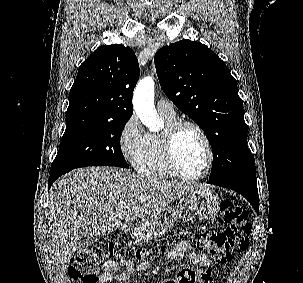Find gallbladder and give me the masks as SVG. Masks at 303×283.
<instances>
[{
    "label": "gallbladder",
    "mask_w": 303,
    "mask_h": 283,
    "mask_svg": "<svg viewBox=\"0 0 303 283\" xmlns=\"http://www.w3.org/2000/svg\"><path fill=\"white\" fill-rule=\"evenodd\" d=\"M99 239L98 236L83 235L77 241V250H86L91 244Z\"/></svg>",
    "instance_id": "gallbladder-1"
}]
</instances>
